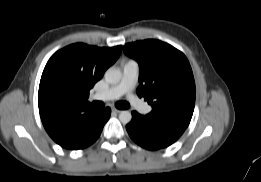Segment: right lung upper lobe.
<instances>
[{
	"instance_id": "1",
	"label": "right lung upper lobe",
	"mask_w": 261,
	"mask_h": 182,
	"mask_svg": "<svg viewBox=\"0 0 261 182\" xmlns=\"http://www.w3.org/2000/svg\"><path fill=\"white\" fill-rule=\"evenodd\" d=\"M122 46L69 45L52 55L41 76L38 106L43 126L59 145L67 142L86 115L89 90L119 57Z\"/></svg>"
}]
</instances>
